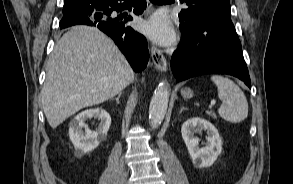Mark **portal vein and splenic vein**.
<instances>
[{"instance_id": "portal-vein-and-splenic-vein-1", "label": "portal vein and splenic vein", "mask_w": 293, "mask_h": 184, "mask_svg": "<svg viewBox=\"0 0 293 184\" xmlns=\"http://www.w3.org/2000/svg\"><path fill=\"white\" fill-rule=\"evenodd\" d=\"M215 103H216L215 100H212L210 103V108H212L215 105Z\"/></svg>"}]
</instances>
